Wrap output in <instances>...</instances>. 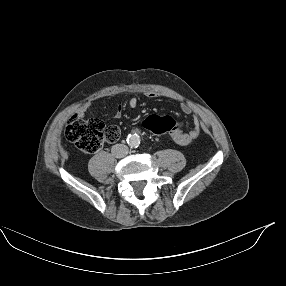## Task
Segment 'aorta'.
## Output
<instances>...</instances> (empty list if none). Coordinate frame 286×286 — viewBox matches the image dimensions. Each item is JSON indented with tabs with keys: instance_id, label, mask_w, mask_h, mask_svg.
Masks as SVG:
<instances>
[{
	"instance_id": "obj_1",
	"label": "aorta",
	"mask_w": 286,
	"mask_h": 286,
	"mask_svg": "<svg viewBox=\"0 0 286 286\" xmlns=\"http://www.w3.org/2000/svg\"><path fill=\"white\" fill-rule=\"evenodd\" d=\"M140 136L137 134H130L127 137V144L131 147V148H136L139 146L140 144Z\"/></svg>"
}]
</instances>
